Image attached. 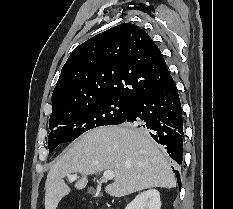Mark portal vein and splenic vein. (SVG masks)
<instances>
[{"label": "portal vein and splenic vein", "mask_w": 233, "mask_h": 209, "mask_svg": "<svg viewBox=\"0 0 233 209\" xmlns=\"http://www.w3.org/2000/svg\"><path fill=\"white\" fill-rule=\"evenodd\" d=\"M103 178H104V180H112L114 178V172L112 170H106V171H104ZM68 179L70 181H74V180L77 179V175L76 174L69 175Z\"/></svg>", "instance_id": "18ae733b"}]
</instances>
